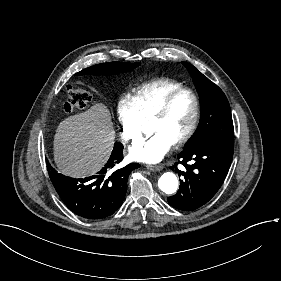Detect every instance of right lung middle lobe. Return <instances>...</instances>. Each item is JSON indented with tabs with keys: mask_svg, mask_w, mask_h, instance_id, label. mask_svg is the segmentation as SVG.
<instances>
[{
	"mask_svg": "<svg viewBox=\"0 0 281 281\" xmlns=\"http://www.w3.org/2000/svg\"><path fill=\"white\" fill-rule=\"evenodd\" d=\"M140 63H123V62H109L97 64L91 67H88L76 75H111L118 74L121 72L131 71L132 69L139 66Z\"/></svg>",
	"mask_w": 281,
	"mask_h": 281,
	"instance_id": "dd1d6c3e",
	"label": "right lung middle lobe"
}]
</instances>
